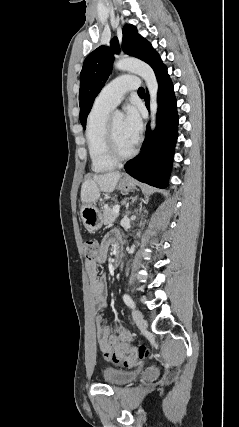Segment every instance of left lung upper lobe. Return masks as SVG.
Returning <instances> with one entry per match:
<instances>
[{
	"label": "left lung upper lobe",
	"instance_id": "5c2ea615",
	"mask_svg": "<svg viewBox=\"0 0 239 427\" xmlns=\"http://www.w3.org/2000/svg\"><path fill=\"white\" fill-rule=\"evenodd\" d=\"M123 51L148 63L155 71L162 63L158 53L151 44L141 37L137 28L131 24L123 27ZM117 38H113L111 46H100L91 52L83 63L80 73V122L85 129L86 119L95 97L103 88L112 70L114 53H119Z\"/></svg>",
	"mask_w": 239,
	"mask_h": 427
}]
</instances>
